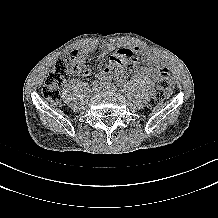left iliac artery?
<instances>
[{
	"instance_id": "left-iliac-artery-1",
	"label": "left iliac artery",
	"mask_w": 218,
	"mask_h": 218,
	"mask_svg": "<svg viewBox=\"0 0 218 218\" xmlns=\"http://www.w3.org/2000/svg\"><path fill=\"white\" fill-rule=\"evenodd\" d=\"M105 82H106L107 84H111V79L107 77V78L105 79Z\"/></svg>"
}]
</instances>
